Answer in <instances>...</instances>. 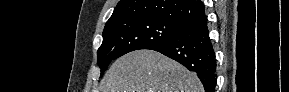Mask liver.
<instances>
[{
	"label": "liver",
	"mask_w": 289,
	"mask_h": 92,
	"mask_svg": "<svg viewBox=\"0 0 289 92\" xmlns=\"http://www.w3.org/2000/svg\"><path fill=\"white\" fill-rule=\"evenodd\" d=\"M101 92H203L196 73L159 52L143 49L118 58L101 83Z\"/></svg>",
	"instance_id": "obj_1"
}]
</instances>
